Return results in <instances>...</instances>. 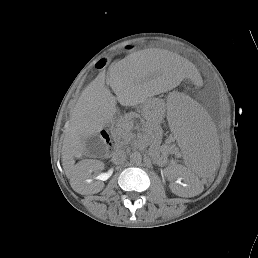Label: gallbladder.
<instances>
[{"label":"gallbladder","instance_id":"gallbladder-1","mask_svg":"<svg viewBox=\"0 0 258 258\" xmlns=\"http://www.w3.org/2000/svg\"><path fill=\"white\" fill-rule=\"evenodd\" d=\"M103 147V142L98 135H92L86 139V149L90 155Z\"/></svg>","mask_w":258,"mask_h":258}]
</instances>
